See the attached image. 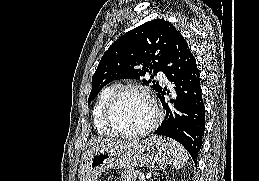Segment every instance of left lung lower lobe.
Wrapping results in <instances>:
<instances>
[{
  "mask_svg": "<svg viewBox=\"0 0 259 181\" xmlns=\"http://www.w3.org/2000/svg\"><path fill=\"white\" fill-rule=\"evenodd\" d=\"M165 75L174 85L176 99L166 103L164 95L170 91L162 87L158 97L166 116L154 134L171 137L181 143L196 164L205 130V108L196 60L182 35L173 43Z\"/></svg>",
  "mask_w": 259,
  "mask_h": 181,
  "instance_id": "0a47b994",
  "label": "left lung lower lobe"
}]
</instances>
